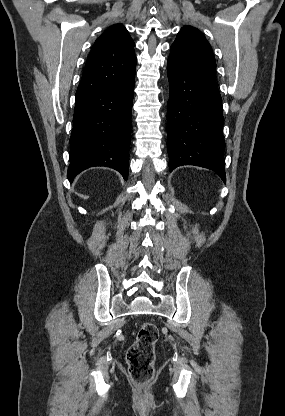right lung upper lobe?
<instances>
[{
  "label": "right lung upper lobe",
  "mask_w": 285,
  "mask_h": 416,
  "mask_svg": "<svg viewBox=\"0 0 285 416\" xmlns=\"http://www.w3.org/2000/svg\"><path fill=\"white\" fill-rule=\"evenodd\" d=\"M135 44L122 24L112 25L95 41L76 91V99L114 86L135 72Z\"/></svg>",
  "instance_id": "right-lung-upper-lobe-1"
}]
</instances>
